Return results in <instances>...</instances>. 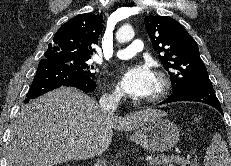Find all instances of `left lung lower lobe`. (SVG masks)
<instances>
[{"instance_id": "left-lung-lower-lobe-1", "label": "left lung lower lobe", "mask_w": 231, "mask_h": 166, "mask_svg": "<svg viewBox=\"0 0 231 166\" xmlns=\"http://www.w3.org/2000/svg\"><path fill=\"white\" fill-rule=\"evenodd\" d=\"M176 101L202 102L216 108L221 114H223L220 102L215 95L213 87H202V86L185 87L174 92L166 100L162 101L160 104H166Z\"/></svg>"}]
</instances>
